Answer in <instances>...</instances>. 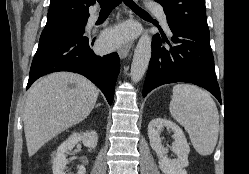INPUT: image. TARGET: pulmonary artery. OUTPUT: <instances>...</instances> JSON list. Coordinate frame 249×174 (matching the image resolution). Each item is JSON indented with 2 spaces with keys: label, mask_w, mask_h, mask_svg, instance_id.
<instances>
[{
  "label": "pulmonary artery",
  "mask_w": 249,
  "mask_h": 174,
  "mask_svg": "<svg viewBox=\"0 0 249 174\" xmlns=\"http://www.w3.org/2000/svg\"><path fill=\"white\" fill-rule=\"evenodd\" d=\"M147 8L150 12L154 13L158 17L162 25L168 30L167 17L163 8L154 2H148ZM96 20H97V15L93 14L89 17L88 22L93 23Z\"/></svg>",
  "instance_id": "obj_1"
}]
</instances>
